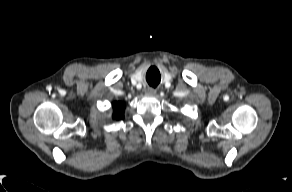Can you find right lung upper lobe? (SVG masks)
<instances>
[{"label":"right lung upper lobe","instance_id":"1","mask_svg":"<svg viewBox=\"0 0 292 192\" xmlns=\"http://www.w3.org/2000/svg\"><path fill=\"white\" fill-rule=\"evenodd\" d=\"M125 104L122 102L113 103V115L112 118L119 120L124 118Z\"/></svg>","mask_w":292,"mask_h":192}]
</instances>
